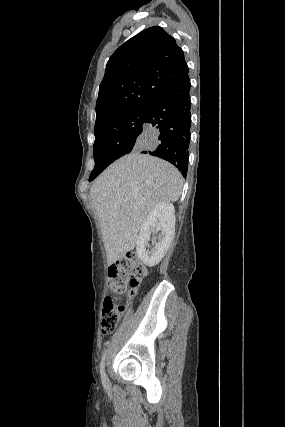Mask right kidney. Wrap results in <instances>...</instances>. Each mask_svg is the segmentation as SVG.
<instances>
[{
	"instance_id": "1",
	"label": "right kidney",
	"mask_w": 285,
	"mask_h": 427,
	"mask_svg": "<svg viewBox=\"0 0 285 427\" xmlns=\"http://www.w3.org/2000/svg\"><path fill=\"white\" fill-rule=\"evenodd\" d=\"M151 239L152 233H158ZM175 232V209L170 202L157 204L145 218L136 242L138 258L147 266L157 265L169 249ZM157 239V241H156ZM152 248L149 250V241Z\"/></svg>"
}]
</instances>
